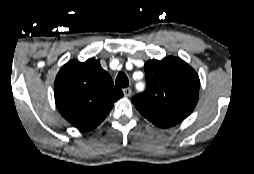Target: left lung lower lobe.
Segmentation results:
<instances>
[{
	"label": "left lung lower lobe",
	"mask_w": 254,
	"mask_h": 174,
	"mask_svg": "<svg viewBox=\"0 0 254 174\" xmlns=\"http://www.w3.org/2000/svg\"><path fill=\"white\" fill-rule=\"evenodd\" d=\"M151 122L153 124H155L156 126L161 127V128H167V127H171V126L176 125V124L171 123V122H161V121H151Z\"/></svg>",
	"instance_id": "1"
}]
</instances>
